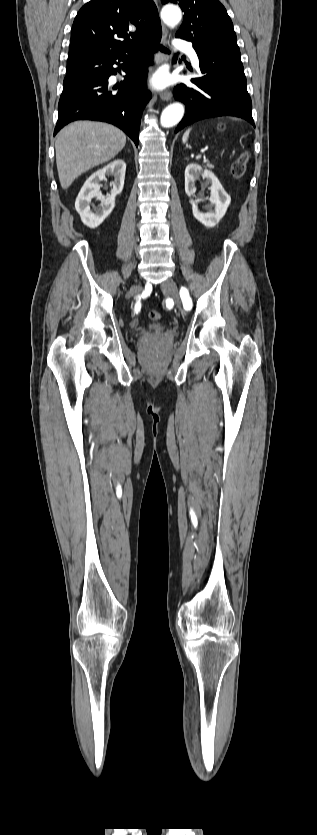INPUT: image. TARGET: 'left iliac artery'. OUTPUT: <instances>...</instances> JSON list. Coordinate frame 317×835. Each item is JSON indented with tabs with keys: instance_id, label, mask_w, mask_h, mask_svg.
<instances>
[{
	"instance_id": "44dca946",
	"label": "left iliac artery",
	"mask_w": 317,
	"mask_h": 835,
	"mask_svg": "<svg viewBox=\"0 0 317 835\" xmlns=\"http://www.w3.org/2000/svg\"><path fill=\"white\" fill-rule=\"evenodd\" d=\"M180 295L183 299V305L185 310H190L192 308V300L190 298L188 290L185 287H181Z\"/></svg>"
}]
</instances>
